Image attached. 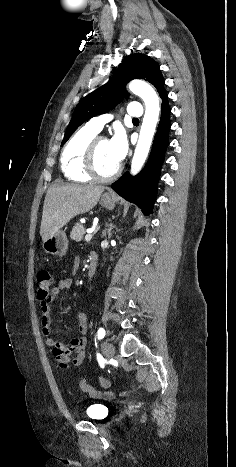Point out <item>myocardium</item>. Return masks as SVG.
Listing matches in <instances>:
<instances>
[{
    "mask_svg": "<svg viewBox=\"0 0 236 467\" xmlns=\"http://www.w3.org/2000/svg\"><path fill=\"white\" fill-rule=\"evenodd\" d=\"M101 140H107L103 136H95L85 151V162L84 168L86 173L94 180L101 181V182H108L115 179L121 172V165L118 164L117 167L108 175H102L96 167V154H97V147Z\"/></svg>",
    "mask_w": 236,
    "mask_h": 467,
    "instance_id": "obj_1",
    "label": "myocardium"
}]
</instances>
